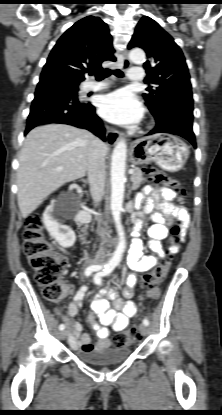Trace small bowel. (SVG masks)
Instances as JSON below:
<instances>
[{
    "instance_id": "c3829d8e",
    "label": "small bowel",
    "mask_w": 222,
    "mask_h": 415,
    "mask_svg": "<svg viewBox=\"0 0 222 415\" xmlns=\"http://www.w3.org/2000/svg\"><path fill=\"white\" fill-rule=\"evenodd\" d=\"M143 193L147 199L139 217L151 216L153 224L147 231L148 247L159 257H162L165 252L160 241L167 236L166 222L177 219L184 227H187L190 217L184 208L173 205L177 196L172 190L147 186ZM171 252H177V248H171ZM127 264L134 272L143 273L151 270L157 264V258L152 255H144L143 242L139 238H135L127 256ZM136 283L135 274H130L126 279V285L122 288L121 295L115 289L102 288L94 298L91 303V312L88 315V321L98 338L94 344L91 342L90 335L83 332L82 325L74 320L87 291L86 285L79 287L68 305V316L62 317L69 329L68 342L72 349L103 351L110 347L109 327L116 332H121L127 328L129 319L137 314V306L132 301ZM94 315L99 318L100 323L95 321Z\"/></svg>"
}]
</instances>
